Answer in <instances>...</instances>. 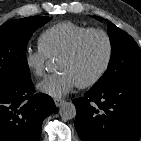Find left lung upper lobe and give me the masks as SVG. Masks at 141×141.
Returning a JSON list of instances; mask_svg holds the SVG:
<instances>
[{
    "instance_id": "1",
    "label": "left lung upper lobe",
    "mask_w": 141,
    "mask_h": 141,
    "mask_svg": "<svg viewBox=\"0 0 141 141\" xmlns=\"http://www.w3.org/2000/svg\"><path fill=\"white\" fill-rule=\"evenodd\" d=\"M102 21L101 17L94 16ZM108 35L111 42V59L107 71L93 88L103 87L125 79L141 78V50L134 39L110 21Z\"/></svg>"
}]
</instances>
